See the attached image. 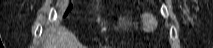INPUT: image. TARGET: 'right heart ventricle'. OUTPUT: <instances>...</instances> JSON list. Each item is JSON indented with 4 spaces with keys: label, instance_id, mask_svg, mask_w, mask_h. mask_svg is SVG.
<instances>
[{
    "label": "right heart ventricle",
    "instance_id": "right-heart-ventricle-1",
    "mask_svg": "<svg viewBox=\"0 0 213 48\" xmlns=\"http://www.w3.org/2000/svg\"><path fill=\"white\" fill-rule=\"evenodd\" d=\"M119 26L129 31H139L142 26L138 19L132 15L131 11L124 12L118 19Z\"/></svg>",
    "mask_w": 213,
    "mask_h": 48
}]
</instances>
